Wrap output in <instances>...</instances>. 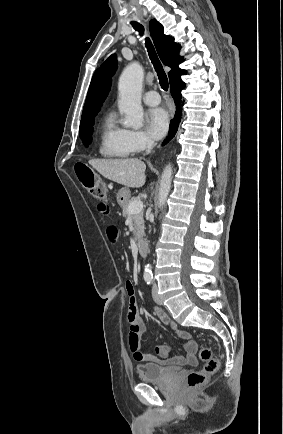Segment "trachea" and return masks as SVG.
Returning a JSON list of instances; mask_svg holds the SVG:
<instances>
[{
  "instance_id": "trachea-1",
  "label": "trachea",
  "mask_w": 283,
  "mask_h": 434,
  "mask_svg": "<svg viewBox=\"0 0 283 434\" xmlns=\"http://www.w3.org/2000/svg\"><path fill=\"white\" fill-rule=\"evenodd\" d=\"M132 26L134 27L135 30L139 31L140 35H142L144 33V27L142 25H140L139 23H132ZM150 60L155 68V71L157 72L158 75V79H159V84L161 86V88L165 91L168 90V78L167 75L163 69V66L160 62V60L158 59V56L156 54L155 48L151 42V40L149 38H146V42H145Z\"/></svg>"
}]
</instances>
